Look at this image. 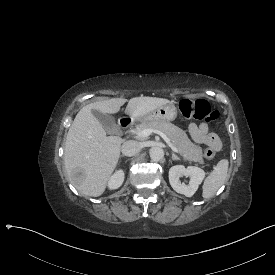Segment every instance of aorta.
<instances>
[{"mask_svg": "<svg viewBox=\"0 0 275 275\" xmlns=\"http://www.w3.org/2000/svg\"><path fill=\"white\" fill-rule=\"evenodd\" d=\"M149 153H150V158L153 161H159L164 157V151L161 147H152Z\"/></svg>", "mask_w": 275, "mask_h": 275, "instance_id": "aorta-1", "label": "aorta"}]
</instances>
